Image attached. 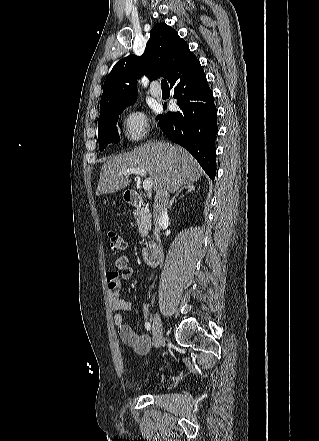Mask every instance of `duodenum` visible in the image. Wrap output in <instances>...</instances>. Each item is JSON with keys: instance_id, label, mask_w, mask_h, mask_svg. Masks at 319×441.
<instances>
[{"instance_id": "410a0bca", "label": "duodenum", "mask_w": 319, "mask_h": 441, "mask_svg": "<svg viewBox=\"0 0 319 441\" xmlns=\"http://www.w3.org/2000/svg\"><path fill=\"white\" fill-rule=\"evenodd\" d=\"M125 200L128 204L136 207H141L145 204L144 199L137 191H127L125 193ZM160 250L153 242H145L142 247V257L146 263L155 267L160 262Z\"/></svg>"}]
</instances>
